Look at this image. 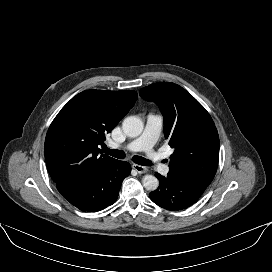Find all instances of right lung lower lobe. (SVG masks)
<instances>
[{"label":"right lung lower lobe","instance_id":"1","mask_svg":"<svg viewBox=\"0 0 272 272\" xmlns=\"http://www.w3.org/2000/svg\"><path fill=\"white\" fill-rule=\"evenodd\" d=\"M130 171L128 162L114 159L89 177L60 182L56 186L61 195L81 211H100L116 201Z\"/></svg>","mask_w":272,"mask_h":272}]
</instances>
